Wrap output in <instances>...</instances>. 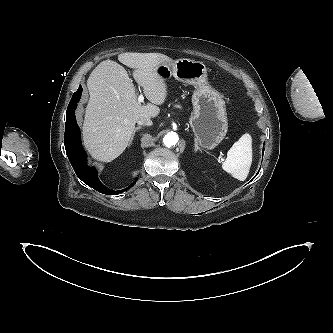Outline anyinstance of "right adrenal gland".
I'll list each match as a JSON object with an SVG mask.
<instances>
[{
  "instance_id": "1",
  "label": "right adrenal gland",
  "mask_w": 333,
  "mask_h": 333,
  "mask_svg": "<svg viewBox=\"0 0 333 333\" xmlns=\"http://www.w3.org/2000/svg\"><path fill=\"white\" fill-rule=\"evenodd\" d=\"M141 128H142L141 126H138V127H136V128L134 129V132H133V134H132V137H131V140H130L129 145H131V143H132V141H133V139H134L135 133H136L138 130H140Z\"/></svg>"
}]
</instances>
